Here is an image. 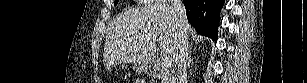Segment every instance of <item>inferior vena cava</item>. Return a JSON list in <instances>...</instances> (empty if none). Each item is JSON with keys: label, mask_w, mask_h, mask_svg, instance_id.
I'll list each match as a JSON object with an SVG mask.
<instances>
[{"label": "inferior vena cava", "mask_w": 307, "mask_h": 83, "mask_svg": "<svg viewBox=\"0 0 307 83\" xmlns=\"http://www.w3.org/2000/svg\"><path fill=\"white\" fill-rule=\"evenodd\" d=\"M173 10L178 18L179 28V45L176 54V62L178 63V83H184L186 79V68L189 55V23L186 17V9L182 0L171 1Z\"/></svg>", "instance_id": "1"}]
</instances>
